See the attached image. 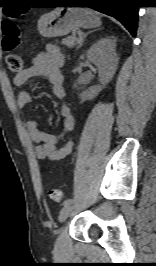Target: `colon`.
<instances>
[{"label": "colon", "instance_id": "obj_1", "mask_svg": "<svg viewBox=\"0 0 156 266\" xmlns=\"http://www.w3.org/2000/svg\"><path fill=\"white\" fill-rule=\"evenodd\" d=\"M16 17V16H15ZM3 47L6 50L15 49L21 40V34L18 26L11 20H6L3 22ZM7 65L11 72L20 73L24 67V59L21 55L11 53L7 56ZM49 196L55 202H61L63 199V194L60 190L51 188L49 190Z\"/></svg>", "mask_w": 156, "mask_h": 266}]
</instances>
